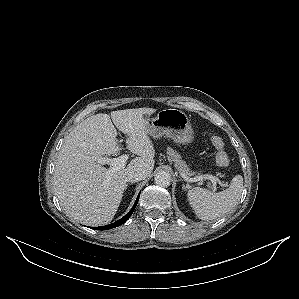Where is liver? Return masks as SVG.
Here are the masks:
<instances>
[{"label":"liver","mask_w":299,"mask_h":299,"mask_svg":"<svg viewBox=\"0 0 299 299\" xmlns=\"http://www.w3.org/2000/svg\"><path fill=\"white\" fill-rule=\"evenodd\" d=\"M155 111L136 108L113 111L110 116L99 113L83 120L69 133L53 173L55 194L68 216L89 226L109 223L121 203L129 171L142 168L147 175L151 174L155 149L144 115L150 116ZM114 125L128 135L127 148L139 157L109 174V169L98 159L115 156L121 150Z\"/></svg>","instance_id":"6515ba94"}]
</instances>
